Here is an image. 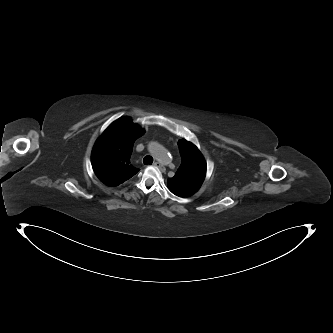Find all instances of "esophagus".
Instances as JSON below:
<instances>
[{
  "label": "esophagus",
  "mask_w": 333,
  "mask_h": 333,
  "mask_svg": "<svg viewBox=\"0 0 333 333\" xmlns=\"http://www.w3.org/2000/svg\"><path fill=\"white\" fill-rule=\"evenodd\" d=\"M153 165L156 166V167H158V168H160L161 170H164L162 164H161L160 162H158V161H155V162L153 163Z\"/></svg>",
  "instance_id": "1"
}]
</instances>
